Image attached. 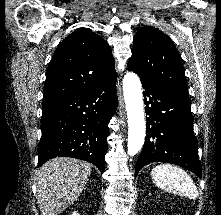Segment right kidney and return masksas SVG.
Masks as SVG:
<instances>
[{"mask_svg": "<svg viewBox=\"0 0 221 215\" xmlns=\"http://www.w3.org/2000/svg\"><path fill=\"white\" fill-rule=\"evenodd\" d=\"M72 215H79L77 212H73Z\"/></svg>", "mask_w": 221, "mask_h": 215, "instance_id": "right-kidney-1", "label": "right kidney"}]
</instances>
